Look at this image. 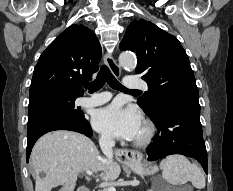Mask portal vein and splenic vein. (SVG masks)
Returning <instances> with one entry per match:
<instances>
[{"label":"portal vein and splenic vein","mask_w":233,"mask_h":191,"mask_svg":"<svg viewBox=\"0 0 233 191\" xmlns=\"http://www.w3.org/2000/svg\"><path fill=\"white\" fill-rule=\"evenodd\" d=\"M86 173L88 175H92V171L91 170H87ZM108 191H116V189L113 186H109L108 187Z\"/></svg>","instance_id":"18ae733b"}]
</instances>
